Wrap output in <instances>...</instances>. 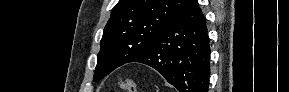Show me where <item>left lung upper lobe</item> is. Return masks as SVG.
<instances>
[{"label": "left lung upper lobe", "instance_id": "1", "mask_svg": "<svg viewBox=\"0 0 289 92\" xmlns=\"http://www.w3.org/2000/svg\"><path fill=\"white\" fill-rule=\"evenodd\" d=\"M190 0H120L103 30L94 81L147 50Z\"/></svg>", "mask_w": 289, "mask_h": 92}]
</instances>
